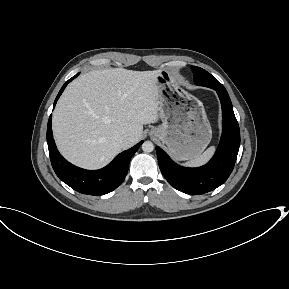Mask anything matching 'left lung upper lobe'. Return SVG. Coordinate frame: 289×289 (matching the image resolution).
Wrapping results in <instances>:
<instances>
[{
    "label": "left lung upper lobe",
    "mask_w": 289,
    "mask_h": 289,
    "mask_svg": "<svg viewBox=\"0 0 289 289\" xmlns=\"http://www.w3.org/2000/svg\"><path fill=\"white\" fill-rule=\"evenodd\" d=\"M194 73V82L196 85L206 86L212 89H224V86L210 73L196 66H191Z\"/></svg>",
    "instance_id": "5c2ea615"
}]
</instances>
